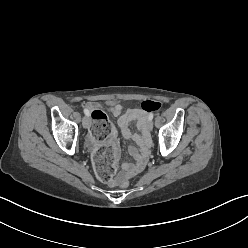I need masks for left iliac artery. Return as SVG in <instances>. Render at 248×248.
<instances>
[{"mask_svg":"<svg viewBox=\"0 0 248 248\" xmlns=\"http://www.w3.org/2000/svg\"><path fill=\"white\" fill-rule=\"evenodd\" d=\"M153 117H154V114L153 113H150L149 116H148V120L149 121H152Z\"/></svg>","mask_w":248,"mask_h":248,"instance_id":"left-iliac-artery-1","label":"left iliac artery"}]
</instances>
